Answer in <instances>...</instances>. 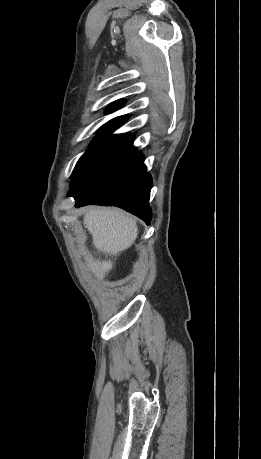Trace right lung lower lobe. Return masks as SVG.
<instances>
[{
	"label": "right lung lower lobe",
	"instance_id": "right-lung-lower-lobe-1",
	"mask_svg": "<svg viewBox=\"0 0 261 459\" xmlns=\"http://www.w3.org/2000/svg\"><path fill=\"white\" fill-rule=\"evenodd\" d=\"M152 179L146 172L144 158L135 151L116 169L104 177L88 195L75 198L76 207L89 204L118 206L143 219L151 221L149 207Z\"/></svg>",
	"mask_w": 261,
	"mask_h": 459
}]
</instances>
